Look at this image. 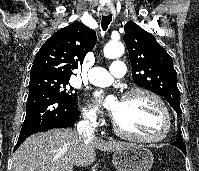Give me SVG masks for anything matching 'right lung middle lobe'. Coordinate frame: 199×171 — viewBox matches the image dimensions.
Wrapping results in <instances>:
<instances>
[{
  "instance_id": "dd1d6c3e",
  "label": "right lung middle lobe",
  "mask_w": 199,
  "mask_h": 171,
  "mask_svg": "<svg viewBox=\"0 0 199 171\" xmlns=\"http://www.w3.org/2000/svg\"><path fill=\"white\" fill-rule=\"evenodd\" d=\"M69 79L60 78L53 75H36L30 77L29 92L46 89L50 90L64 100L76 105L77 92H72L73 87L69 84Z\"/></svg>"
}]
</instances>
